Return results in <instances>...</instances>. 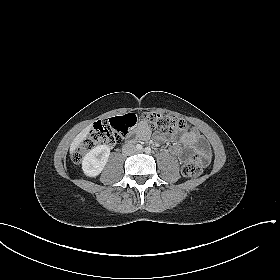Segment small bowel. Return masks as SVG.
Here are the masks:
<instances>
[{
	"label": "small bowel",
	"mask_w": 280,
	"mask_h": 280,
	"mask_svg": "<svg viewBox=\"0 0 280 280\" xmlns=\"http://www.w3.org/2000/svg\"><path fill=\"white\" fill-rule=\"evenodd\" d=\"M150 136V131L145 123H140L135 131V137L137 139L146 140ZM181 144L183 147L174 146L171 148V152L174 155L181 156L183 154V148H194L200 154H208L210 159V148L208 143L196 130H189L181 136Z\"/></svg>",
	"instance_id": "obj_1"
}]
</instances>
